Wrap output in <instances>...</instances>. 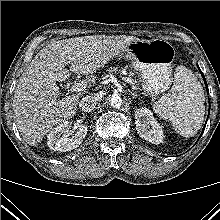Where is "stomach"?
I'll use <instances>...</instances> for the list:
<instances>
[{
  "label": "stomach",
  "instance_id": "obj_1",
  "mask_svg": "<svg viewBox=\"0 0 220 220\" xmlns=\"http://www.w3.org/2000/svg\"><path fill=\"white\" fill-rule=\"evenodd\" d=\"M121 57L130 59L139 72L142 90L154 97L170 88L174 47L166 40H137L131 42Z\"/></svg>",
  "mask_w": 220,
  "mask_h": 220
}]
</instances>
